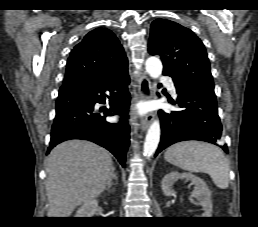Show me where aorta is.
I'll return each mask as SVG.
<instances>
[{
    "instance_id": "1",
    "label": "aorta",
    "mask_w": 258,
    "mask_h": 227,
    "mask_svg": "<svg viewBox=\"0 0 258 227\" xmlns=\"http://www.w3.org/2000/svg\"><path fill=\"white\" fill-rule=\"evenodd\" d=\"M146 71L152 78H158L162 73V63L157 57H149L145 63ZM160 124L158 120L153 121L150 125L145 142L143 153L146 157H151L156 151L160 141Z\"/></svg>"
}]
</instances>
